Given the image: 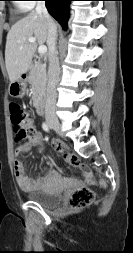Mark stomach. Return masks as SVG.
<instances>
[{"mask_svg":"<svg viewBox=\"0 0 133 253\" xmlns=\"http://www.w3.org/2000/svg\"><path fill=\"white\" fill-rule=\"evenodd\" d=\"M26 78H19L9 86V93L14 97H22L26 91Z\"/></svg>","mask_w":133,"mask_h":253,"instance_id":"0dacf381","label":"stomach"}]
</instances>
